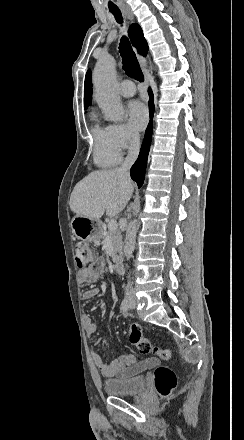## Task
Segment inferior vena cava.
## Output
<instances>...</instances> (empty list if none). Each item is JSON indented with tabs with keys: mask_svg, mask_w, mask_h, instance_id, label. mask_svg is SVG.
I'll use <instances>...</instances> for the list:
<instances>
[{
	"mask_svg": "<svg viewBox=\"0 0 244 440\" xmlns=\"http://www.w3.org/2000/svg\"><path fill=\"white\" fill-rule=\"evenodd\" d=\"M139 150H140L139 134H132L131 140H130V146H129V150H128V156H127V158H125L122 166H120V168H118L120 174H123V176H125V178H127V180H130L129 170H130L131 166H133L135 160H137ZM128 278H129V276H128ZM125 290H126L125 294H133L134 288H132V282H130V280H129Z\"/></svg>",
	"mask_w": 244,
	"mask_h": 440,
	"instance_id": "1",
	"label": "inferior vena cava"
}]
</instances>
